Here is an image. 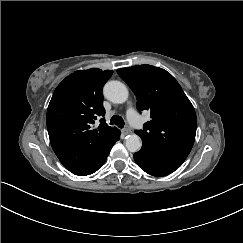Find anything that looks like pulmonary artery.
<instances>
[{
	"label": "pulmonary artery",
	"mask_w": 243,
	"mask_h": 243,
	"mask_svg": "<svg viewBox=\"0 0 243 243\" xmlns=\"http://www.w3.org/2000/svg\"><path fill=\"white\" fill-rule=\"evenodd\" d=\"M132 110H133V108L130 106V108H129V112L132 111Z\"/></svg>",
	"instance_id": "pulmonary-artery-1"
}]
</instances>
